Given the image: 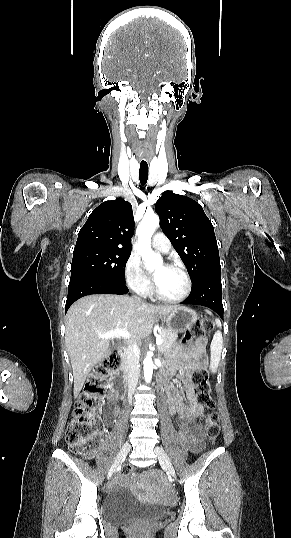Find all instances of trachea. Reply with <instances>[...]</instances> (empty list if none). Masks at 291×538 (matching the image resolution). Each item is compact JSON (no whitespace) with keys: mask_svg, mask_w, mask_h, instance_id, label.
I'll list each match as a JSON object with an SVG mask.
<instances>
[{"mask_svg":"<svg viewBox=\"0 0 291 538\" xmlns=\"http://www.w3.org/2000/svg\"><path fill=\"white\" fill-rule=\"evenodd\" d=\"M139 180L141 185H145L148 180V165L147 164H140L139 169Z\"/></svg>","mask_w":291,"mask_h":538,"instance_id":"trachea-1","label":"trachea"}]
</instances>
